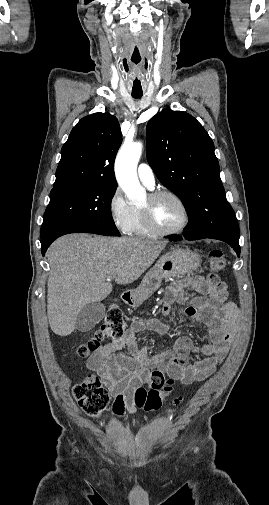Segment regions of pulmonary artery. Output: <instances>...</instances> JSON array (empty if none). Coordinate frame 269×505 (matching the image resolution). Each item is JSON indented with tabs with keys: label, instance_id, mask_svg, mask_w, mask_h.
<instances>
[{
	"label": "pulmonary artery",
	"instance_id": "e3ab8cb5",
	"mask_svg": "<svg viewBox=\"0 0 269 505\" xmlns=\"http://www.w3.org/2000/svg\"><path fill=\"white\" fill-rule=\"evenodd\" d=\"M137 174H138V178L145 186H147L150 189H152L154 187L155 175H154L152 168L148 164L141 163L138 166Z\"/></svg>",
	"mask_w": 269,
	"mask_h": 505
}]
</instances>
